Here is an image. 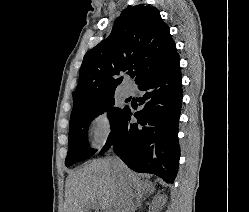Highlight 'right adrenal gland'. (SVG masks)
<instances>
[{"mask_svg":"<svg viewBox=\"0 0 249 212\" xmlns=\"http://www.w3.org/2000/svg\"><path fill=\"white\" fill-rule=\"evenodd\" d=\"M141 196H142V194H136V196H134L136 202H135V206L133 208V212H135V210H138V208H140V206H142V202H144V200H142Z\"/></svg>","mask_w":249,"mask_h":212,"instance_id":"2a0ac1e0","label":"right adrenal gland"}]
</instances>
